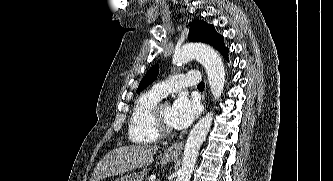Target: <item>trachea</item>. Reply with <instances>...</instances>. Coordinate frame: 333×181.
I'll return each instance as SVG.
<instances>
[{
	"label": "trachea",
	"mask_w": 333,
	"mask_h": 181,
	"mask_svg": "<svg viewBox=\"0 0 333 181\" xmlns=\"http://www.w3.org/2000/svg\"><path fill=\"white\" fill-rule=\"evenodd\" d=\"M197 88H198L199 90H204V83H203V82H200V83L198 84Z\"/></svg>",
	"instance_id": "obj_1"
}]
</instances>
